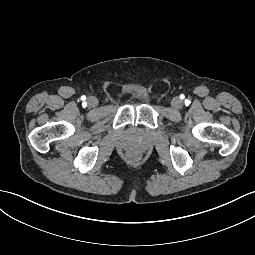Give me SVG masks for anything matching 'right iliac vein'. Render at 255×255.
<instances>
[{
    "label": "right iliac vein",
    "instance_id": "obj_1",
    "mask_svg": "<svg viewBox=\"0 0 255 255\" xmlns=\"http://www.w3.org/2000/svg\"><path fill=\"white\" fill-rule=\"evenodd\" d=\"M87 105L90 107V108H94L98 105V99L94 96H90L88 99H87Z\"/></svg>",
    "mask_w": 255,
    "mask_h": 255
}]
</instances>
